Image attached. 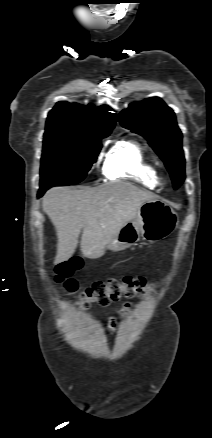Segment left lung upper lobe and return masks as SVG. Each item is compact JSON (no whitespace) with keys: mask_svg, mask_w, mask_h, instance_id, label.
Listing matches in <instances>:
<instances>
[{"mask_svg":"<svg viewBox=\"0 0 212 438\" xmlns=\"http://www.w3.org/2000/svg\"><path fill=\"white\" fill-rule=\"evenodd\" d=\"M119 121L122 127L148 140L165 163L177 189L185 179V159L182 133L173 110L159 97H151L131 104L120 113Z\"/></svg>","mask_w":212,"mask_h":438,"instance_id":"obj_1","label":"left lung upper lobe"}]
</instances>
